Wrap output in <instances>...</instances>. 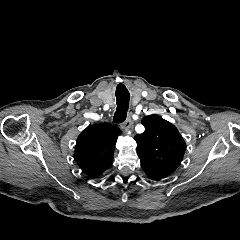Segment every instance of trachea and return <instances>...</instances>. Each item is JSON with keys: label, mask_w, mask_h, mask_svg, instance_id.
Here are the masks:
<instances>
[{"label": "trachea", "mask_w": 240, "mask_h": 240, "mask_svg": "<svg viewBox=\"0 0 240 240\" xmlns=\"http://www.w3.org/2000/svg\"><path fill=\"white\" fill-rule=\"evenodd\" d=\"M117 108L113 117V121L122 123L127 116L129 107L130 94L126 87L118 86L116 89Z\"/></svg>", "instance_id": "obj_1"}]
</instances>
